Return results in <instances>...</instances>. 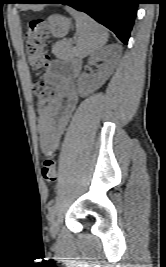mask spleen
<instances>
[{"label": "spleen", "mask_w": 166, "mask_h": 267, "mask_svg": "<svg viewBox=\"0 0 166 267\" xmlns=\"http://www.w3.org/2000/svg\"><path fill=\"white\" fill-rule=\"evenodd\" d=\"M67 11L75 18L76 34L78 36L73 53L78 58H84L96 53L107 41V31L85 13L67 8Z\"/></svg>", "instance_id": "obj_1"}]
</instances>
